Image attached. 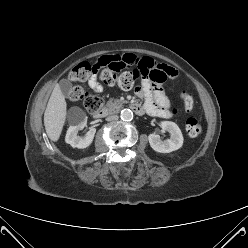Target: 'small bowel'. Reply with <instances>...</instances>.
<instances>
[{
    "label": "small bowel",
    "mask_w": 248,
    "mask_h": 248,
    "mask_svg": "<svg viewBox=\"0 0 248 248\" xmlns=\"http://www.w3.org/2000/svg\"><path fill=\"white\" fill-rule=\"evenodd\" d=\"M99 64L109 66L114 70L138 68L143 72L155 73L158 79L162 77H177L175 69L165 64L157 63L148 56H137L130 52L104 56L99 60ZM88 85L95 92L100 93L103 91V86L97 80L96 76H91L88 79ZM136 94L144 99V107L142 109L146 113L159 118H169L172 116L169 99L161 86H153L150 79H144L142 81L141 86L136 89Z\"/></svg>",
    "instance_id": "1"
}]
</instances>
